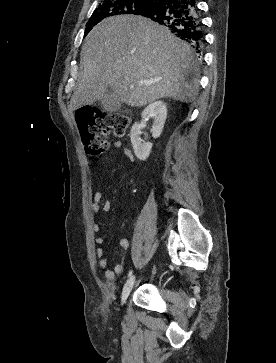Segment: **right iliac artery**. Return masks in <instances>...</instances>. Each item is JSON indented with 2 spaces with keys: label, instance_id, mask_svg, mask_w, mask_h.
<instances>
[{
  "label": "right iliac artery",
  "instance_id": "82829eb1",
  "mask_svg": "<svg viewBox=\"0 0 276 363\" xmlns=\"http://www.w3.org/2000/svg\"><path fill=\"white\" fill-rule=\"evenodd\" d=\"M132 276V270L131 271H129V273H128V278H130Z\"/></svg>",
  "mask_w": 276,
  "mask_h": 363
}]
</instances>
